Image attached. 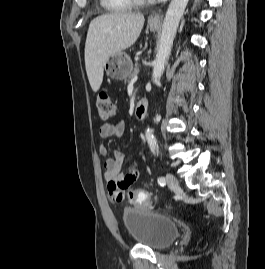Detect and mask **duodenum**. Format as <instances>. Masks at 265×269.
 I'll list each match as a JSON object with an SVG mask.
<instances>
[{
    "mask_svg": "<svg viewBox=\"0 0 265 269\" xmlns=\"http://www.w3.org/2000/svg\"><path fill=\"white\" fill-rule=\"evenodd\" d=\"M148 109V103L145 99H141L135 108V116L138 119H141L145 116Z\"/></svg>",
    "mask_w": 265,
    "mask_h": 269,
    "instance_id": "1",
    "label": "duodenum"
}]
</instances>
